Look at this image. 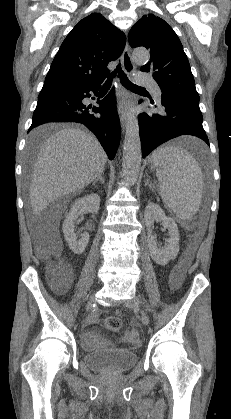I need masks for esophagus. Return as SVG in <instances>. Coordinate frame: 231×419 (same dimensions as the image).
I'll return each mask as SVG.
<instances>
[{
	"label": "esophagus",
	"mask_w": 231,
	"mask_h": 419,
	"mask_svg": "<svg viewBox=\"0 0 231 419\" xmlns=\"http://www.w3.org/2000/svg\"><path fill=\"white\" fill-rule=\"evenodd\" d=\"M122 65H123L124 71L128 75H131L135 70V65L131 58L128 42H126L125 49L122 54ZM118 114H119L121 125L124 128L126 124L127 115H128V96L125 91H121V94H120Z\"/></svg>",
	"instance_id": "34e87169"
}]
</instances>
